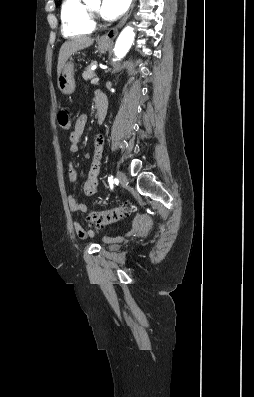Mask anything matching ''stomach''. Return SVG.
Instances as JSON below:
<instances>
[{"instance_id":"stomach-1","label":"stomach","mask_w":254,"mask_h":397,"mask_svg":"<svg viewBox=\"0 0 254 397\" xmlns=\"http://www.w3.org/2000/svg\"><path fill=\"white\" fill-rule=\"evenodd\" d=\"M111 46L110 42H97V49L100 52L107 51ZM72 58L70 61H66L63 65L62 69L58 72L57 84L60 91L64 94H71L74 92L76 84L74 80V63L72 62Z\"/></svg>"}]
</instances>
